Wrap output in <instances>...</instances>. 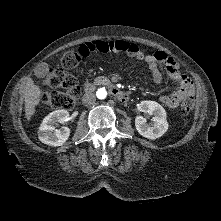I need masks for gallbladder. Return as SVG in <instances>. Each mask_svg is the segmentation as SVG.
<instances>
[{"mask_svg": "<svg viewBox=\"0 0 221 221\" xmlns=\"http://www.w3.org/2000/svg\"><path fill=\"white\" fill-rule=\"evenodd\" d=\"M38 77H43L44 76V73H39L37 74Z\"/></svg>", "mask_w": 221, "mask_h": 221, "instance_id": "1", "label": "gallbladder"}]
</instances>
